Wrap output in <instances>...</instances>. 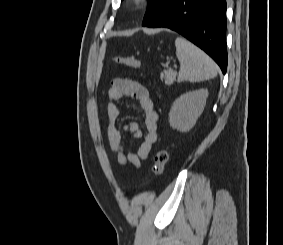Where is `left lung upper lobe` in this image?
Returning a JSON list of instances; mask_svg holds the SVG:
<instances>
[{
    "mask_svg": "<svg viewBox=\"0 0 283 245\" xmlns=\"http://www.w3.org/2000/svg\"><path fill=\"white\" fill-rule=\"evenodd\" d=\"M173 0H149L148 9L143 19V26L149 24L159 16Z\"/></svg>",
    "mask_w": 283,
    "mask_h": 245,
    "instance_id": "1",
    "label": "left lung upper lobe"
}]
</instances>
